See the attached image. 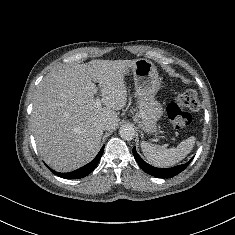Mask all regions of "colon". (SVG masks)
<instances>
[{
    "instance_id": "colon-1",
    "label": "colon",
    "mask_w": 235,
    "mask_h": 235,
    "mask_svg": "<svg viewBox=\"0 0 235 235\" xmlns=\"http://www.w3.org/2000/svg\"><path fill=\"white\" fill-rule=\"evenodd\" d=\"M199 108V101L196 91L186 89L180 93L174 102L167 106V117L176 129H183L192 122V111Z\"/></svg>"
}]
</instances>
